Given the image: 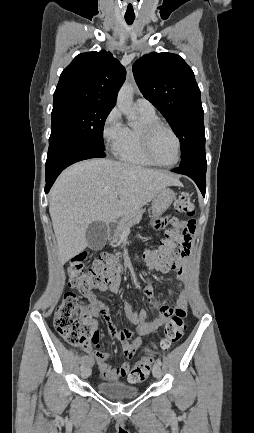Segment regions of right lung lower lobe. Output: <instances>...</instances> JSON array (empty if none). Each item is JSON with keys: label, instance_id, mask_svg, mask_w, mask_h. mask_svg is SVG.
I'll use <instances>...</instances> for the list:
<instances>
[{"label": "right lung lower lobe", "instance_id": "1", "mask_svg": "<svg viewBox=\"0 0 254 433\" xmlns=\"http://www.w3.org/2000/svg\"><path fill=\"white\" fill-rule=\"evenodd\" d=\"M105 157L104 151L92 147L74 137L63 134L49 141L46 161V186L48 193L58 175L69 165L90 158Z\"/></svg>", "mask_w": 254, "mask_h": 433}]
</instances>
